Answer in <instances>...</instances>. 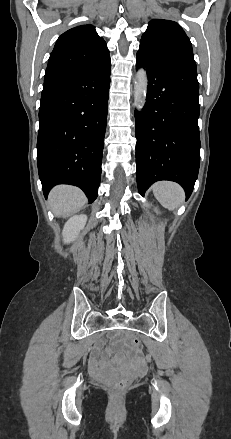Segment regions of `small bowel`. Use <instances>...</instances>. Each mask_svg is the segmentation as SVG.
<instances>
[{
  "label": "small bowel",
  "mask_w": 231,
  "mask_h": 439,
  "mask_svg": "<svg viewBox=\"0 0 231 439\" xmlns=\"http://www.w3.org/2000/svg\"><path fill=\"white\" fill-rule=\"evenodd\" d=\"M93 367L96 371H98V372L100 371V366L96 361L93 362Z\"/></svg>",
  "instance_id": "c3829d8e"
}]
</instances>
